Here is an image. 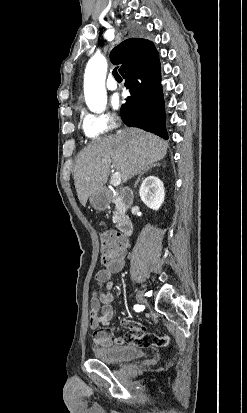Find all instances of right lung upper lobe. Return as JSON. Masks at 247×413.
Listing matches in <instances>:
<instances>
[{
	"label": "right lung upper lobe",
	"instance_id": "obj_1",
	"mask_svg": "<svg viewBox=\"0 0 247 413\" xmlns=\"http://www.w3.org/2000/svg\"><path fill=\"white\" fill-rule=\"evenodd\" d=\"M111 62L122 64L119 72L125 78L144 73L159 64V56L152 42L140 39H127L110 54Z\"/></svg>",
	"mask_w": 247,
	"mask_h": 413
}]
</instances>
